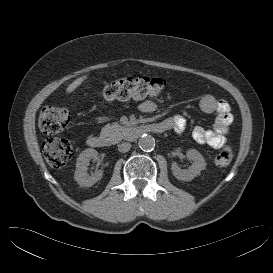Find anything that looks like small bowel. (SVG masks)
Here are the masks:
<instances>
[{
	"mask_svg": "<svg viewBox=\"0 0 273 273\" xmlns=\"http://www.w3.org/2000/svg\"><path fill=\"white\" fill-rule=\"evenodd\" d=\"M200 109L204 113H215L216 117L210 128L196 126L192 131L194 140L201 145H208L214 149L222 148L227 141L229 125L232 122L230 105L226 100L216 98L213 95H205L199 103ZM140 110L143 113H153L156 111V104L151 100H146L140 104ZM167 130H172L181 135L187 127V121L184 116L178 114L171 116L163 121Z\"/></svg>",
	"mask_w": 273,
	"mask_h": 273,
	"instance_id": "small-bowel-1",
	"label": "small bowel"
}]
</instances>
